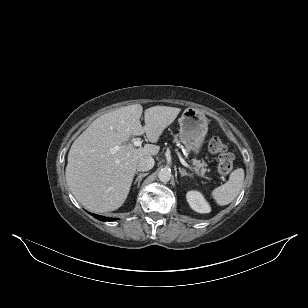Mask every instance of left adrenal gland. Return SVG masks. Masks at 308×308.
I'll use <instances>...</instances> for the list:
<instances>
[{
	"instance_id": "a2214340",
	"label": "left adrenal gland",
	"mask_w": 308,
	"mask_h": 308,
	"mask_svg": "<svg viewBox=\"0 0 308 308\" xmlns=\"http://www.w3.org/2000/svg\"><path fill=\"white\" fill-rule=\"evenodd\" d=\"M179 173H180L181 177H184V176L192 177V174L188 173L185 169L179 168Z\"/></svg>"
}]
</instances>
